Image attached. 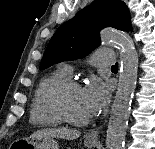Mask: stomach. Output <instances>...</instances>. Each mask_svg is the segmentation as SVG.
<instances>
[{"mask_svg":"<svg viewBox=\"0 0 155 149\" xmlns=\"http://www.w3.org/2000/svg\"><path fill=\"white\" fill-rule=\"evenodd\" d=\"M84 145L90 149L94 142L85 141ZM14 149H59L58 141L53 137L41 136L36 138L18 139L13 144Z\"/></svg>","mask_w":155,"mask_h":149,"instance_id":"1","label":"stomach"}]
</instances>
